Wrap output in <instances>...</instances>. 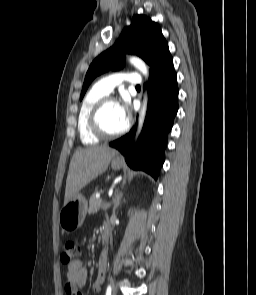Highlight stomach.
I'll use <instances>...</instances> for the list:
<instances>
[{
    "label": "stomach",
    "instance_id": "stomach-1",
    "mask_svg": "<svg viewBox=\"0 0 256 295\" xmlns=\"http://www.w3.org/2000/svg\"><path fill=\"white\" fill-rule=\"evenodd\" d=\"M123 161L120 157L114 156L111 160V167L118 170L122 167ZM88 203L85 197L77 193L69 202L63 205L59 222L63 230L71 232L81 227L87 214Z\"/></svg>",
    "mask_w": 256,
    "mask_h": 295
}]
</instances>
